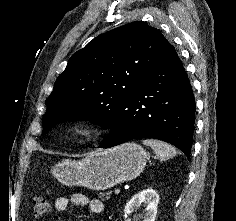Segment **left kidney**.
<instances>
[{
  "label": "left kidney",
  "instance_id": "1",
  "mask_svg": "<svg viewBox=\"0 0 236 221\" xmlns=\"http://www.w3.org/2000/svg\"><path fill=\"white\" fill-rule=\"evenodd\" d=\"M142 203L146 205L143 221H155L159 203V195L152 188H147L134 195L125 206V214L134 212Z\"/></svg>",
  "mask_w": 236,
  "mask_h": 221
}]
</instances>
